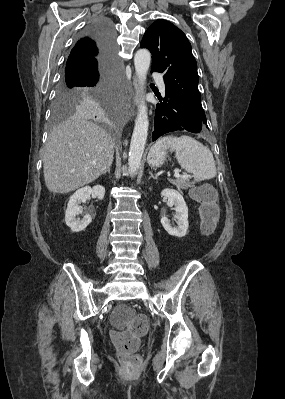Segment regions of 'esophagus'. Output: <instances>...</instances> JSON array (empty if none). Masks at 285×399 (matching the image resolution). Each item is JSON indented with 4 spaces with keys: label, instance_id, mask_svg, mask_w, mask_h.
Returning a JSON list of instances; mask_svg holds the SVG:
<instances>
[{
    "label": "esophagus",
    "instance_id": "esophagus-1",
    "mask_svg": "<svg viewBox=\"0 0 285 399\" xmlns=\"http://www.w3.org/2000/svg\"><path fill=\"white\" fill-rule=\"evenodd\" d=\"M133 85L135 89V94L132 98V107H130L128 110V115L130 117L134 115V107L139 103L140 99L138 79L135 75L133 76Z\"/></svg>",
    "mask_w": 285,
    "mask_h": 399
}]
</instances>
